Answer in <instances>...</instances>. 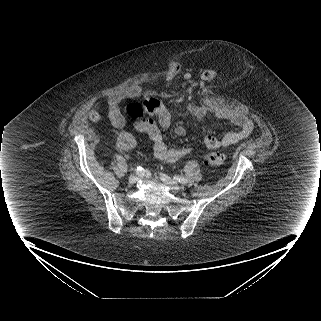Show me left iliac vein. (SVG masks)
Masks as SVG:
<instances>
[{
  "mask_svg": "<svg viewBox=\"0 0 321 321\" xmlns=\"http://www.w3.org/2000/svg\"><path fill=\"white\" fill-rule=\"evenodd\" d=\"M160 179L162 180V182L168 186L173 192H180L181 191V186L174 181L173 179H171L168 175L164 174V173H160Z\"/></svg>",
  "mask_w": 321,
  "mask_h": 321,
  "instance_id": "obj_1",
  "label": "left iliac vein"
}]
</instances>
